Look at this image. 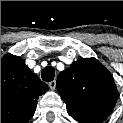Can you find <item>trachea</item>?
Instances as JSON below:
<instances>
[{
  "mask_svg": "<svg viewBox=\"0 0 123 123\" xmlns=\"http://www.w3.org/2000/svg\"><path fill=\"white\" fill-rule=\"evenodd\" d=\"M54 76H55V70L51 66L45 67L41 72L42 79L47 82L52 81L54 79Z\"/></svg>",
  "mask_w": 123,
  "mask_h": 123,
  "instance_id": "trachea-1",
  "label": "trachea"
}]
</instances>
